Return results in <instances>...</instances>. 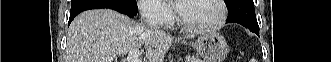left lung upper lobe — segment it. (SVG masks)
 I'll use <instances>...</instances> for the list:
<instances>
[{
  "instance_id": "left-lung-upper-lobe-1",
  "label": "left lung upper lobe",
  "mask_w": 331,
  "mask_h": 62,
  "mask_svg": "<svg viewBox=\"0 0 331 62\" xmlns=\"http://www.w3.org/2000/svg\"><path fill=\"white\" fill-rule=\"evenodd\" d=\"M228 8L227 23L243 22L258 25L253 0H225Z\"/></svg>"
}]
</instances>
